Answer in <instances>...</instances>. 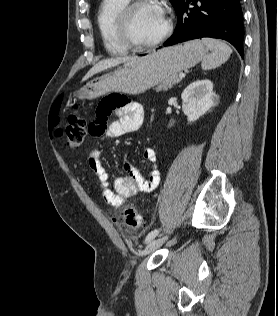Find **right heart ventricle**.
<instances>
[{
  "label": "right heart ventricle",
  "mask_w": 278,
  "mask_h": 316,
  "mask_svg": "<svg viewBox=\"0 0 278 316\" xmlns=\"http://www.w3.org/2000/svg\"><path fill=\"white\" fill-rule=\"evenodd\" d=\"M129 2L130 0H102L98 9V31L105 49L112 55H122L129 50L117 28L118 15Z\"/></svg>",
  "instance_id": "1"
}]
</instances>
